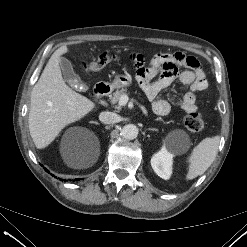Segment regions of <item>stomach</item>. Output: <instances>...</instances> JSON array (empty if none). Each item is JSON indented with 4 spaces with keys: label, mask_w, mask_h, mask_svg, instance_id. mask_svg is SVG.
I'll return each mask as SVG.
<instances>
[{
    "label": "stomach",
    "mask_w": 247,
    "mask_h": 247,
    "mask_svg": "<svg viewBox=\"0 0 247 247\" xmlns=\"http://www.w3.org/2000/svg\"><path fill=\"white\" fill-rule=\"evenodd\" d=\"M132 84V78L129 74H118L111 83L113 88H123Z\"/></svg>",
    "instance_id": "stomach-1"
}]
</instances>
